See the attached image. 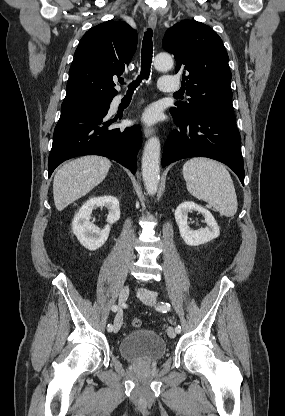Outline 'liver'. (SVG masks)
<instances>
[{
    "label": "liver",
    "instance_id": "obj_1",
    "mask_svg": "<svg viewBox=\"0 0 285 416\" xmlns=\"http://www.w3.org/2000/svg\"><path fill=\"white\" fill-rule=\"evenodd\" d=\"M111 166L110 160L101 156H83L62 166L53 182L54 204L58 212L101 184Z\"/></svg>",
    "mask_w": 285,
    "mask_h": 416
}]
</instances>
